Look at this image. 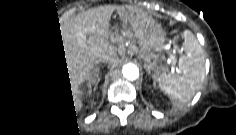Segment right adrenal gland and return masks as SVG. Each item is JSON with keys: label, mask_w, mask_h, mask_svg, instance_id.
I'll return each mask as SVG.
<instances>
[{"label": "right adrenal gland", "mask_w": 236, "mask_h": 135, "mask_svg": "<svg viewBox=\"0 0 236 135\" xmlns=\"http://www.w3.org/2000/svg\"><path fill=\"white\" fill-rule=\"evenodd\" d=\"M99 71H100L99 67H96L93 70V77L91 79V84L89 86V91H88L89 95L92 93V86H93V91L95 92L97 89V85L100 82Z\"/></svg>", "instance_id": "right-adrenal-gland-1"}]
</instances>
